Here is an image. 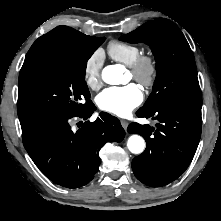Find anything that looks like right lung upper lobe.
Instances as JSON below:
<instances>
[{"mask_svg": "<svg viewBox=\"0 0 221 221\" xmlns=\"http://www.w3.org/2000/svg\"><path fill=\"white\" fill-rule=\"evenodd\" d=\"M97 37H90L68 26H58L39 37L29 49L20 73L35 65L43 57L78 44L93 41Z\"/></svg>", "mask_w": 221, "mask_h": 221, "instance_id": "1", "label": "right lung upper lobe"}]
</instances>
